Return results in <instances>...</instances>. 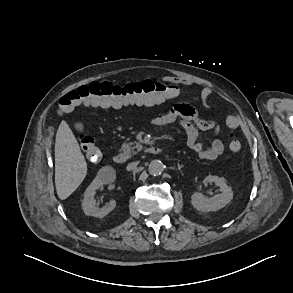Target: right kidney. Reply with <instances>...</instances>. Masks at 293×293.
I'll return each mask as SVG.
<instances>
[{"label":"right kidney","instance_id":"1","mask_svg":"<svg viewBox=\"0 0 293 293\" xmlns=\"http://www.w3.org/2000/svg\"><path fill=\"white\" fill-rule=\"evenodd\" d=\"M115 178V171L113 169H109L108 174L105 178L97 177L92 183L87 187L84 198L82 200V209L86 215H91L97 218H102L109 214L116 206V202L111 200L102 208H97L96 201L94 200V196L96 190L99 189L105 182L111 181Z\"/></svg>","mask_w":293,"mask_h":293}]
</instances>
